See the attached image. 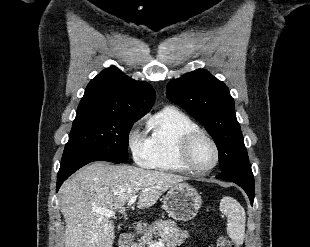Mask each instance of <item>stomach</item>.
Wrapping results in <instances>:
<instances>
[{
    "label": "stomach",
    "instance_id": "stomach-1",
    "mask_svg": "<svg viewBox=\"0 0 310 247\" xmlns=\"http://www.w3.org/2000/svg\"><path fill=\"white\" fill-rule=\"evenodd\" d=\"M201 204L200 194L187 183L173 186L163 198L165 211L176 221L192 220L197 215Z\"/></svg>",
    "mask_w": 310,
    "mask_h": 247
}]
</instances>
